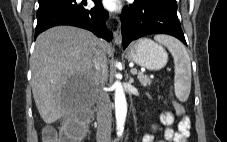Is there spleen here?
Instances as JSON below:
<instances>
[{
  "label": "spleen",
  "mask_w": 227,
  "mask_h": 142,
  "mask_svg": "<svg viewBox=\"0 0 227 142\" xmlns=\"http://www.w3.org/2000/svg\"><path fill=\"white\" fill-rule=\"evenodd\" d=\"M154 39L168 48L174 59V89L176 97L184 102L191 90V62L185 46L168 35H156Z\"/></svg>",
  "instance_id": "spleen-1"
}]
</instances>
